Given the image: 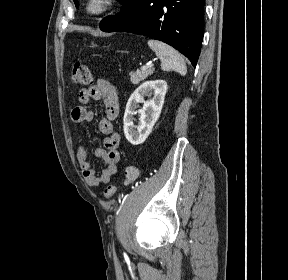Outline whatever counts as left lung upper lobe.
I'll use <instances>...</instances> for the list:
<instances>
[{"label":"left lung upper lobe","mask_w":288,"mask_h":280,"mask_svg":"<svg viewBox=\"0 0 288 280\" xmlns=\"http://www.w3.org/2000/svg\"><path fill=\"white\" fill-rule=\"evenodd\" d=\"M76 7H78V2L76 0H74ZM119 2L122 5L121 10L127 8L132 2L133 0H119Z\"/></svg>","instance_id":"left-lung-upper-lobe-1"}]
</instances>
